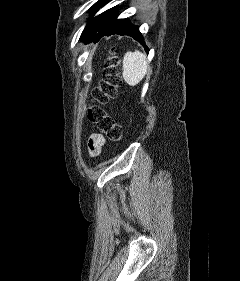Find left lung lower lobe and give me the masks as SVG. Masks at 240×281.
<instances>
[{
    "label": "left lung lower lobe",
    "instance_id": "obj_1",
    "mask_svg": "<svg viewBox=\"0 0 240 281\" xmlns=\"http://www.w3.org/2000/svg\"><path fill=\"white\" fill-rule=\"evenodd\" d=\"M101 5L98 7V9L101 7ZM115 12L116 7H113L91 19L82 32L80 40L88 42L95 39L98 41L105 35L109 36L113 34H119L131 36L138 42L144 43V39L138 30V27L131 25L128 19H117ZM145 49L147 52L149 51L146 46Z\"/></svg>",
    "mask_w": 240,
    "mask_h": 281
}]
</instances>
